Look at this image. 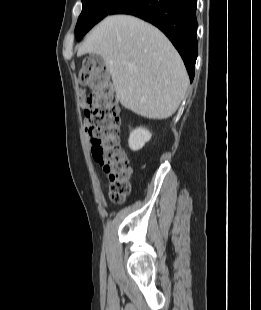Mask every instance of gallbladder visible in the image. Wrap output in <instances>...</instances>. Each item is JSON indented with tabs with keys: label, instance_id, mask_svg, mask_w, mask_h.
I'll return each instance as SVG.
<instances>
[{
	"label": "gallbladder",
	"instance_id": "1",
	"mask_svg": "<svg viewBox=\"0 0 261 310\" xmlns=\"http://www.w3.org/2000/svg\"><path fill=\"white\" fill-rule=\"evenodd\" d=\"M90 58L94 59L98 64L103 65L104 61L100 55H92Z\"/></svg>",
	"mask_w": 261,
	"mask_h": 310
}]
</instances>
